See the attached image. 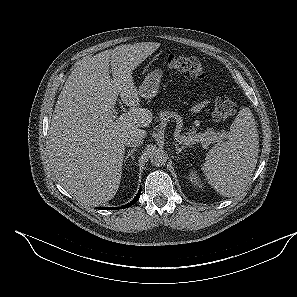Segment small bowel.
<instances>
[{
  "label": "small bowel",
  "instance_id": "obj_1",
  "mask_svg": "<svg viewBox=\"0 0 297 297\" xmlns=\"http://www.w3.org/2000/svg\"><path fill=\"white\" fill-rule=\"evenodd\" d=\"M204 105H205V101H204V100L201 101V102H199V103H197V104L194 106V108H193L194 112H198V111H200V110L204 107Z\"/></svg>",
  "mask_w": 297,
  "mask_h": 297
}]
</instances>
